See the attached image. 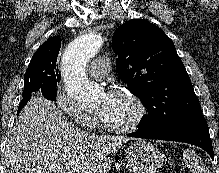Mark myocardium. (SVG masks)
I'll return each mask as SVG.
<instances>
[{
	"label": "myocardium",
	"instance_id": "obj_1",
	"mask_svg": "<svg viewBox=\"0 0 219 173\" xmlns=\"http://www.w3.org/2000/svg\"><path fill=\"white\" fill-rule=\"evenodd\" d=\"M111 93H119L127 96L135 105L136 115L129 124L124 126H115L106 122L99 114V119L102 127L105 130L116 134H128L134 132L140 127L146 116V107L144 102L132 89L125 86H118L112 89Z\"/></svg>",
	"mask_w": 219,
	"mask_h": 173
}]
</instances>
